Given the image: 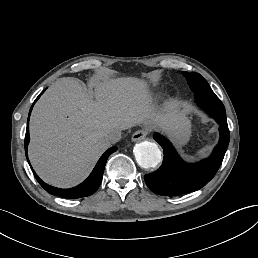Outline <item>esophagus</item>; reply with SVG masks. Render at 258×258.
I'll list each match as a JSON object with an SVG mask.
<instances>
[{"instance_id": "obj_1", "label": "esophagus", "mask_w": 258, "mask_h": 258, "mask_svg": "<svg viewBox=\"0 0 258 258\" xmlns=\"http://www.w3.org/2000/svg\"><path fill=\"white\" fill-rule=\"evenodd\" d=\"M148 130H138L132 135V141L137 142L143 140L147 136Z\"/></svg>"}]
</instances>
